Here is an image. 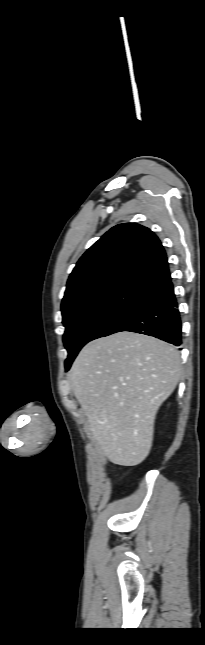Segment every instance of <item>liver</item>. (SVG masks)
I'll list each match as a JSON object with an SVG mask.
<instances>
[{
	"mask_svg": "<svg viewBox=\"0 0 205 645\" xmlns=\"http://www.w3.org/2000/svg\"><path fill=\"white\" fill-rule=\"evenodd\" d=\"M181 375L179 351L157 338L118 332L89 342L73 362V393L92 439L114 464L148 456L157 411Z\"/></svg>",
	"mask_w": 205,
	"mask_h": 645,
	"instance_id": "liver-1",
	"label": "liver"
}]
</instances>
